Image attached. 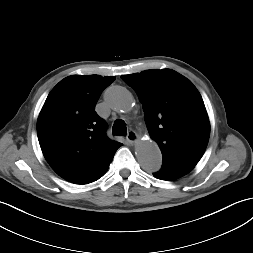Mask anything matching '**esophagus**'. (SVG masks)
Wrapping results in <instances>:
<instances>
[{"label":"esophagus","mask_w":253,"mask_h":253,"mask_svg":"<svg viewBox=\"0 0 253 253\" xmlns=\"http://www.w3.org/2000/svg\"><path fill=\"white\" fill-rule=\"evenodd\" d=\"M126 139L129 143L134 144L138 141V135L135 131L129 130Z\"/></svg>","instance_id":"34e87169"}]
</instances>
